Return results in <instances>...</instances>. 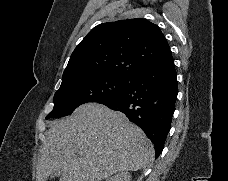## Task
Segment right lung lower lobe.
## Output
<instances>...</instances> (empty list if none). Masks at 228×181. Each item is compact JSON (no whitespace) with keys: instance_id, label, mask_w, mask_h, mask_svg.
Listing matches in <instances>:
<instances>
[{"instance_id":"98d812e1","label":"right lung lower lobe","mask_w":228,"mask_h":181,"mask_svg":"<svg viewBox=\"0 0 228 181\" xmlns=\"http://www.w3.org/2000/svg\"><path fill=\"white\" fill-rule=\"evenodd\" d=\"M177 93V74L171 54L135 73L121 94L101 104L123 112L141 127L154 144L157 158L170 130Z\"/></svg>"}]
</instances>
